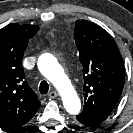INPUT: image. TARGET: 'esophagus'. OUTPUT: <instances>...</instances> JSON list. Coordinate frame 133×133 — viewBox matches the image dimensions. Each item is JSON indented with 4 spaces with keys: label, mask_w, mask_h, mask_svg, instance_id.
<instances>
[{
    "label": "esophagus",
    "mask_w": 133,
    "mask_h": 133,
    "mask_svg": "<svg viewBox=\"0 0 133 133\" xmlns=\"http://www.w3.org/2000/svg\"><path fill=\"white\" fill-rule=\"evenodd\" d=\"M58 96V94H57V92H55V91H52V92H50L49 94H48V97L50 98V99H54V98H56Z\"/></svg>",
    "instance_id": "34e87169"
}]
</instances>
